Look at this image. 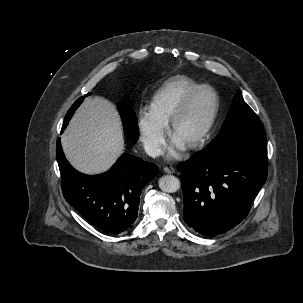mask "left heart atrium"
Segmentation results:
<instances>
[{
    "label": "left heart atrium",
    "mask_w": 303,
    "mask_h": 303,
    "mask_svg": "<svg viewBox=\"0 0 303 303\" xmlns=\"http://www.w3.org/2000/svg\"><path fill=\"white\" fill-rule=\"evenodd\" d=\"M185 144L179 140L178 138L174 137L172 140L171 147L169 149V158L170 159H177L180 157V152L184 150Z\"/></svg>",
    "instance_id": "obj_1"
}]
</instances>
